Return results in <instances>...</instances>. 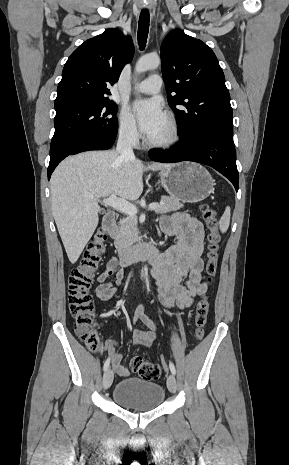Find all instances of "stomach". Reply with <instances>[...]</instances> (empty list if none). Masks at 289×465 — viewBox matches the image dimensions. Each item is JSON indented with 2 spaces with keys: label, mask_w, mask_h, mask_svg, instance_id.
I'll use <instances>...</instances> for the list:
<instances>
[{
  "label": "stomach",
  "mask_w": 289,
  "mask_h": 465,
  "mask_svg": "<svg viewBox=\"0 0 289 465\" xmlns=\"http://www.w3.org/2000/svg\"><path fill=\"white\" fill-rule=\"evenodd\" d=\"M160 182L172 198L186 203L200 202L214 190L210 173L193 162H180L164 169L160 173Z\"/></svg>",
  "instance_id": "0dacf381"
}]
</instances>
